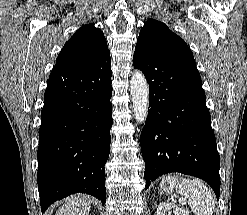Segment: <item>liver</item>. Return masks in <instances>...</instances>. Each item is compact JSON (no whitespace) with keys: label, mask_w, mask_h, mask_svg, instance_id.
I'll return each mask as SVG.
<instances>
[{"label":"liver","mask_w":247,"mask_h":215,"mask_svg":"<svg viewBox=\"0 0 247 215\" xmlns=\"http://www.w3.org/2000/svg\"><path fill=\"white\" fill-rule=\"evenodd\" d=\"M91 202L92 199L85 195L72 196L56 211V215H88Z\"/></svg>","instance_id":"1"}]
</instances>
